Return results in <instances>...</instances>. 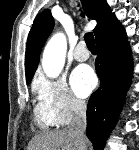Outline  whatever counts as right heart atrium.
I'll return each instance as SVG.
<instances>
[{"mask_svg":"<svg viewBox=\"0 0 139 150\" xmlns=\"http://www.w3.org/2000/svg\"><path fill=\"white\" fill-rule=\"evenodd\" d=\"M36 91L55 125H65L85 112V102L73 94L64 77L40 79L36 83Z\"/></svg>","mask_w":139,"mask_h":150,"instance_id":"d8ad5b80","label":"right heart atrium"}]
</instances>
